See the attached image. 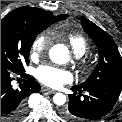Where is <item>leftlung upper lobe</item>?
<instances>
[{
	"label": "left lung upper lobe",
	"mask_w": 122,
	"mask_h": 122,
	"mask_svg": "<svg viewBox=\"0 0 122 122\" xmlns=\"http://www.w3.org/2000/svg\"><path fill=\"white\" fill-rule=\"evenodd\" d=\"M86 33L94 40L99 52V62L92 74L81 85V89L113 87L122 89V58L112 37L87 20L82 21Z\"/></svg>",
	"instance_id": "left-lung-upper-lobe-1"
}]
</instances>
